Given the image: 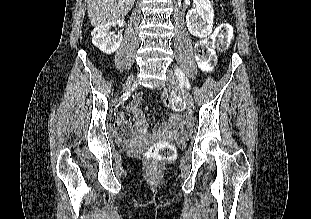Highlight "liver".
I'll return each instance as SVG.
<instances>
[{
	"label": "liver",
	"instance_id": "6515ba94",
	"mask_svg": "<svg viewBox=\"0 0 311 219\" xmlns=\"http://www.w3.org/2000/svg\"><path fill=\"white\" fill-rule=\"evenodd\" d=\"M134 2L135 0H87L88 17L95 27L115 22L131 10Z\"/></svg>",
	"mask_w": 311,
	"mask_h": 219
}]
</instances>
